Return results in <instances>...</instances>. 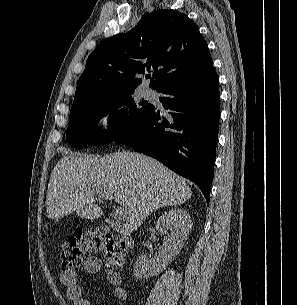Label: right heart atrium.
Wrapping results in <instances>:
<instances>
[{"label":"right heart atrium","instance_id":"right-heart-atrium-1","mask_svg":"<svg viewBox=\"0 0 297 305\" xmlns=\"http://www.w3.org/2000/svg\"><path fill=\"white\" fill-rule=\"evenodd\" d=\"M119 122V111L113 106L104 108L98 116V123L105 137H111L117 132Z\"/></svg>","mask_w":297,"mask_h":305}]
</instances>
